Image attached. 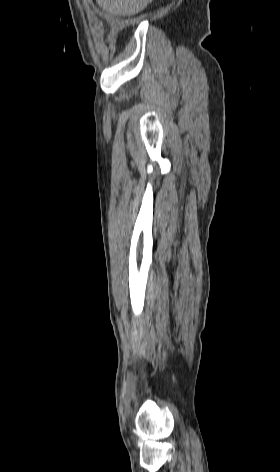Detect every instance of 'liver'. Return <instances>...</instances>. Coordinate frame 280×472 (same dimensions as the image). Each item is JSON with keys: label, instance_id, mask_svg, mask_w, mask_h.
<instances>
[{"label": "liver", "instance_id": "obj_1", "mask_svg": "<svg viewBox=\"0 0 280 472\" xmlns=\"http://www.w3.org/2000/svg\"><path fill=\"white\" fill-rule=\"evenodd\" d=\"M151 0H97L110 15H134L141 12Z\"/></svg>", "mask_w": 280, "mask_h": 472}]
</instances>
